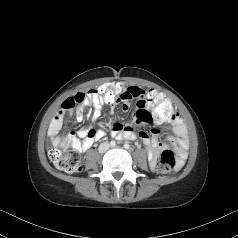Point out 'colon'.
I'll list each match as a JSON object with an SVG mask.
<instances>
[{
  "label": "colon",
  "instance_id": "1",
  "mask_svg": "<svg viewBox=\"0 0 238 238\" xmlns=\"http://www.w3.org/2000/svg\"><path fill=\"white\" fill-rule=\"evenodd\" d=\"M123 80H109L108 84L99 89L88 92H78L68 97L62 104L65 109L73 108L76 103L82 102L91 92L96 94H106L102 96L104 103H118V98L123 92ZM146 97L151 103V108L143 117L153 118L159 121H168L175 116V111L168 96L164 92H158L155 88H150L146 92ZM49 158L54 166L66 173H78L81 171V156L73 150L61 151L53 148L49 152ZM178 162L171 150H164L157 165V170L161 174H169L177 168Z\"/></svg>",
  "mask_w": 238,
  "mask_h": 238
}]
</instances>
